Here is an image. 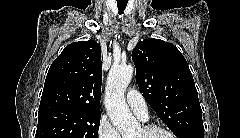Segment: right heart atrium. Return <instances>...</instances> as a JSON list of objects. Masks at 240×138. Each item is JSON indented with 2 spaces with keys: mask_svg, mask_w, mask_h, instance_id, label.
<instances>
[{
  "mask_svg": "<svg viewBox=\"0 0 240 138\" xmlns=\"http://www.w3.org/2000/svg\"><path fill=\"white\" fill-rule=\"evenodd\" d=\"M98 138H121L117 129L107 118H102L97 128Z\"/></svg>",
  "mask_w": 240,
  "mask_h": 138,
  "instance_id": "d8ad5b80",
  "label": "right heart atrium"
}]
</instances>
